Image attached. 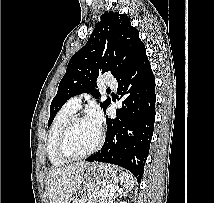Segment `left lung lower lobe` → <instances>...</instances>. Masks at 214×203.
<instances>
[{"mask_svg":"<svg viewBox=\"0 0 214 203\" xmlns=\"http://www.w3.org/2000/svg\"><path fill=\"white\" fill-rule=\"evenodd\" d=\"M117 93L123 97L116 118L106 116L105 142L86 161L106 162L126 168L140 183L149 153L155 122V78L146 49L140 51L118 79Z\"/></svg>","mask_w":214,"mask_h":203,"instance_id":"left-lung-lower-lobe-1","label":"left lung lower lobe"}]
</instances>
